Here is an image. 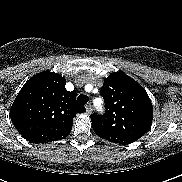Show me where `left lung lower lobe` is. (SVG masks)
Returning a JSON list of instances; mask_svg holds the SVG:
<instances>
[{
	"instance_id": "1",
	"label": "left lung lower lobe",
	"mask_w": 182,
	"mask_h": 182,
	"mask_svg": "<svg viewBox=\"0 0 182 182\" xmlns=\"http://www.w3.org/2000/svg\"><path fill=\"white\" fill-rule=\"evenodd\" d=\"M94 132L99 137L106 139L108 141L114 142V143L129 144V143H132L135 141V140L121 137V136L116 135V134L107 133V132H103V131L94 130Z\"/></svg>"
}]
</instances>
